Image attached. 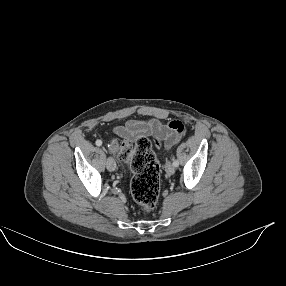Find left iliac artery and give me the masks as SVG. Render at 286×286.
<instances>
[{
	"mask_svg": "<svg viewBox=\"0 0 286 286\" xmlns=\"http://www.w3.org/2000/svg\"><path fill=\"white\" fill-rule=\"evenodd\" d=\"M173 165H174V167H178V165H179L178 160H173Z\"/></svg>",
	"mask_w": 286,
	"mask_h": 286,
	"instance_id": "1",
	"label": "left iliac artery"
}]
</instances>
